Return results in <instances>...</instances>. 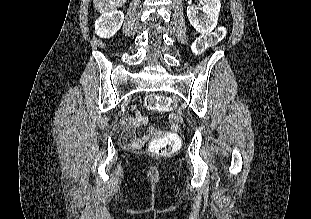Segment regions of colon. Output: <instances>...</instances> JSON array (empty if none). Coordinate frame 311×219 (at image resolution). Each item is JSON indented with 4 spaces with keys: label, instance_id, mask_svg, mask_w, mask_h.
Masks as SVG:
<instances>
[{
    "label": "colon",
    "instance_id": "5ec220e1",
    "mask_svg": "<svg viewBox=\"0 0 311 219\" xmlns=\"http://www.w3.org/2000/svg\"><path fill=\"white\" fill-rule=\"evenodd\" d=\"M224 36L225 30L224 28L220 27L212 34L198 38L195 43V51L197 53L204 52L209 46L222 40ZM144 103L147 109L154 111H169L173 106L171 100L168 97L156 94L148 95ZM125 137L126 136H123L121 138L122 143H127ZM178 146V138L175 135L169 133H162L155 136L150 143L151 151L159 155H170L175 152Z\"/></svg>",
    "mask_w": 311,
    "mask_h": 219
}]
</instances>
